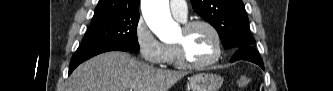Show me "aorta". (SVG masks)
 I'll return each instance as SVG.
<instances>
[{
    "label": "aorta",
    "instance_id": "obj_1",
    "mask_svg": "<svg viewBox=\"0 0 333 91\" xmlns=\"http://www.w3.org/2000/svg\"><path fill=\"white\" fill-rule=\"evenodd\" d=\"M141 9L147 25L160 40L167 41L177 35L178 27L171 17L168 0H142Z\"/></svg>",
    "mask_w": 333,
    "mask_h": 91
}]
</instances>
